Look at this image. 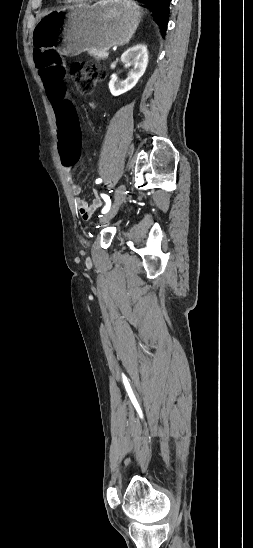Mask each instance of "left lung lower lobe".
<instances>
[{"label":"left lung lower lobe","mask_w":253,"mask_h":548,"mask_svg":"<svg viewBox=\"0 0 253 548\" xmlns=\"http://www.w3.org/2000/svg\"><path fill=\"white\" fill-rule=\"evenodd\" d=\"M147 2L151 5L153 11L157 17V23L161 29V33L165 36L168 17H169V5L171 0H140Z\"/></svg>","instance_id":"left-lung-lower-lobe-1"}]
</instances>
